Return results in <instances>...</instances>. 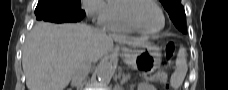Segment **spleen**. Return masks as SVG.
<instances>
[{"label": "spleen", "instance_id": "spleen-1", "mask_svg": "<svg viewBox=\"0 0 228 90\" xmlns=\"http://www.w3.org/2000/svg\"><path fill=\"white\" fill-rule=\"evenodd\" d=\"M175 64L176 67L174 73L171 75L170 84L173 88H178L182 85L188 70L185 49L180 48Z\"/></svg>", "mask_w": 228, "mask_h": 90}]
</instances>
